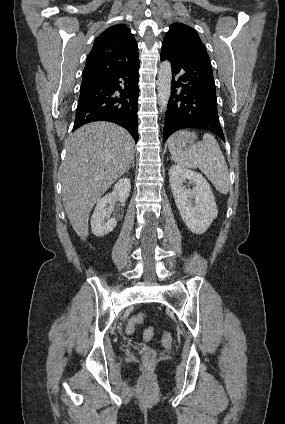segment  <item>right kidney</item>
<instances>
[{
	"label": "right kidney",
	"mask_w": 285,
	"mask_h": 424,
	"mask_svg": "<svg viewBox=\"0 0 285 424\" xmlns=\"http://www.w3.org/2000/svg\"><path fill=\"white\" fill-rule=\"evenodd\" d=\"M131 189V182L128 178L120 179L113 187V192L105 195L96 202L93 215L91 217V230L95 236L102 237L107 235L117 225L115 218L110 219L113 212L114 198L123 204L126 202ZM106 219L108 221L106 222Z\"/></svg>",
	"instance_id": "obj_1"
}]
</instances>
